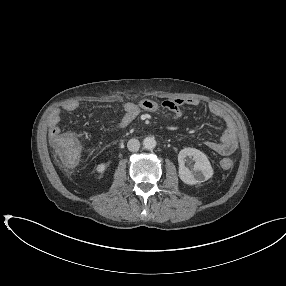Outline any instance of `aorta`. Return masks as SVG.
I'll return each mask as SVG.
<instances>
[{
    "mask_svg": "<svg viewBox=\"0 0 286 286\" xmlns=\"http://www.w3.org/2000/svg\"><path fill=\"white\" fill-rule=\"evenodd\" d=\"M143 147L147 150H153L156 147V140L154 137H146L143 140Z\"/></svg>",
    "mask_w": 286,
    "mask_h": 286,
    "instance_id": "obj_1",
    "label": "aorta"
}]
</instances>
